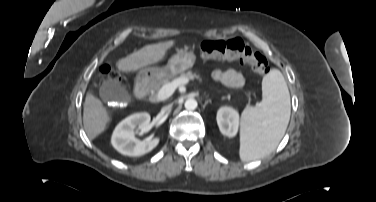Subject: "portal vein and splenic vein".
<instances>
[{
    "label": "portal vein and splenic vein",
    "mask_w": 376,
    "mask_h": 202,
    "mask_svg": "<svg viewBox=\"0 0 376 202\" xmlns=\"http://www.w3.org/2000/svg\"><path fill=\"white\" fill-rule=\"evenodd\" d=\"M188 83H189L188 79H180V78L175 79L172 82L163 85L161 89L159 90L157 96L160 100H165L169 98L178 87L182 85H186Z\"/></svg>",
    "instance_id": "portal-vein-and-splenic-vein-1"
}]
</instances>
